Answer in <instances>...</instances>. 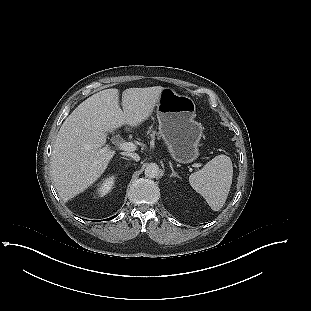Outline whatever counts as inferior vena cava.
<instances>
[{
	"instance_id": "inferior-vena-cava-1",
	"label": "inferior vena cava",
	"mask_w": 311,
	"mask_h": 311,
	"mask_svg": "<svg viewBox=\"0 0 311 311\" xmlns=\"http://www.w3.org/2000/svg\"><path fill=\"white\" fill-rule=\"evenodd\" d=\"M124 155H127L129 157H131L133 160L135 161H139L140 160V156L137 153H124Z\"/></svg>"
}]
</instances>
